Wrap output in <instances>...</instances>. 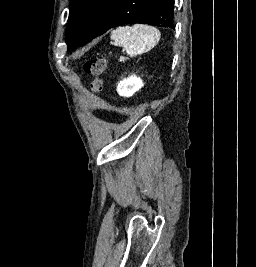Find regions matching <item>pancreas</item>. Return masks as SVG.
I'll return each instance as SVG.
<instances>
[{"label": "pancreas", "instance_id": "1", "mask_svg": "<svg viewBox=\"0 0 256 267\" xmlns=\"http://www.w3.org/2000/svg\"><path fill=\"white\" fill-rule=\"evenodd\" d=\"M125 60H127V58H124V56H121L119 62H125Z\"/></svg>", "mask_w": 256, "mask_h": 267}]
</instances>
